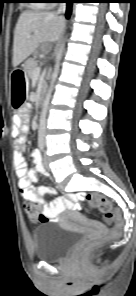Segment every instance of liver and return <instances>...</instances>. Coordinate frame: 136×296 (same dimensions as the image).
<instances>
[{
    "instance_id": "obj_1",
    "label": "liver",
    "mask_w": 136,
    "mask_h": 296,
    "mask_svg": "<svg viewBox=\"0 0 136 296\" xmlns=\"http://www.w3.org/2000/svg\"><path fill=\"white\" fill-rule=\"evenodd\" d=\"M65 26L64 18L52 12L25 11L16 24L13 41L12 65L17 67L27 59L40 43L59 39ZM27 37V34H31Z\"/></svg>"
}]
</instances>
